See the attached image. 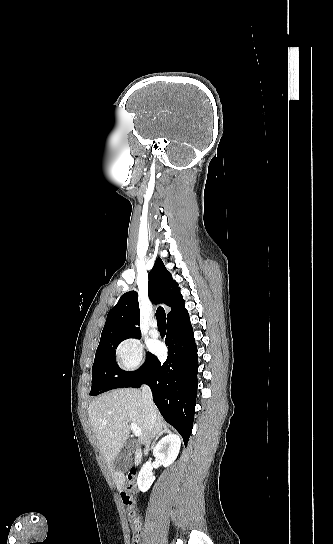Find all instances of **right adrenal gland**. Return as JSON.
I'll list each match as a JSON object with an SVG mask.
<instances>
[{"label":"right adrenal gland","instance_id":"1","mask_svg":"<svg viewBox=\"0 0 333 544\" xmlns=\"http://www.w3.org/2000/svg\"><path fill=\"white\" fill-rule=\"evenodd\" d=\"M168 432H169L168 428H167L166 426H164L163 431H162L161 433H159V435L155 438V440H154V442H153L152 445H153V446L155 445L156 441L158 440V438H159L163 433H168Z\"/></svg>","mask_w":333,"mask_h":544}]
</instances>
